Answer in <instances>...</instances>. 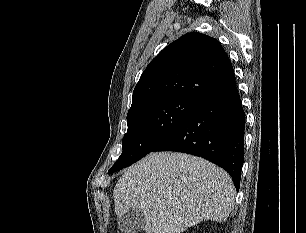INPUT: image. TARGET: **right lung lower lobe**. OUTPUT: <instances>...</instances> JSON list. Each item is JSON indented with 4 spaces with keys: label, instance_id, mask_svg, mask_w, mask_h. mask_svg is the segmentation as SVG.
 Segmentation results:
<instances>
[{
    "label": "right lung lower lobe",
    "instance_id": "98d812e1",
    "mask_svg": "<svg viewBox=\"0 0 306 233\" xmlns=\"http://www.w3.org/2000/svg\"><path fill=\"white\" fill-rule=\"evenodd\" d=\"M245 113L237 88L207 101L153 151L203 157L225 169L239 190L244 160Z\"/></svg>",
    "mask_w": 306,
    "mask_h": 233
}]
</instances>
